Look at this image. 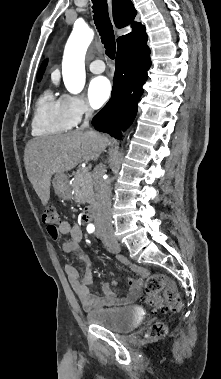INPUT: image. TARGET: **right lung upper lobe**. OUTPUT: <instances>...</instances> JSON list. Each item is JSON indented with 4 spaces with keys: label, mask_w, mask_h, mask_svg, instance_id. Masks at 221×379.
<instances>
[{
    "label": "right lung upper lobe",
    "mask_w": 221,
    "mask_h": 379,
    "mask_svg": "<svg viewBox=\"0 0 221 379\" xmlns=\"http://www.w3.org/2000/svg\"><path fill=\"white\" fill-rule=\"evenodd\" d=\"M112 4H113V18H114L115 25L118 28H122L132 23L131 26L133 28L132 33L126 34L117 39L118 44L121 41L125 40L126 38L138 33L139 31L145 28L144 26L141 25V23L133 22L137 11L135 10L131 0H112ZM45 66H46V62L42 64V66L40 67L38 71V75H37L38 80L41 79Z\"/></svg>",
    "instance_id": "cb5924a9"
}]
</instances>
